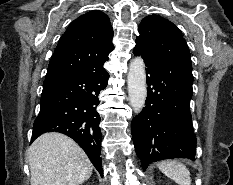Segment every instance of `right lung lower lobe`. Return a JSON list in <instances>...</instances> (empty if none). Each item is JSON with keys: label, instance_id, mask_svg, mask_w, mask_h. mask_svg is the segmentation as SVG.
I'll use <instances>...</instances> for the list:
<instances>
[{"label": "right lung lower lobe", "instance_id": "1", "mask_svg": "<svg viewBox=\"0 0 233 185\" xmlns=\"http://www.w3.org/2000/svg\"><path fill=\"white\" fill-rule=\"evenodd\" d=\"M108 72L102 68L46 78L41 108L33 126V142L45 132H61L74 139L103 176L98 94L107 86Z\"/></svg>", "mask_w": 233, "mask_h": 185}]
</instances>
